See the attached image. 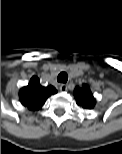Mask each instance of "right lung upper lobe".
Wrapping results in <instances>:
<instances>
[{
    "instance_id": "1",
    "label": "right lung upper lobe",
    "mask_w": 122,
    "mask_h": 154,
    "mask_svg": "<svg viewBox=\"0 0 122 154\" xmlns=\"http://www.w3.org/2000/svg\"><path fill=\"white\" fill-rule=\"evenodd\" d=\"M57 93L53 86L43 87L39 82V78L33 76L29 84L23 87L19 92L21 103L29 110H39L46 99Z\"/></svg>"
}]
</instances>
